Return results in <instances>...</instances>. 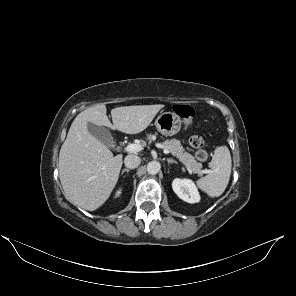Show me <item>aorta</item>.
<instances>
[{
	"label": "aorta",
	"instance_id": "obj_1",
	"mask_svg": "<svg viewBox=\"0 0 296 296\" xmlns=\"http://www.w3.org/2000/svg\"><path fill=\"white\" fill-rule=\"evenodd\" d=\"M161 165L158 161H151L147 165V171L149 174L155 175L160 171Z\"/></svg>",
	"mask_w": 296,
	"mask_h": 296
}]
</instances>
